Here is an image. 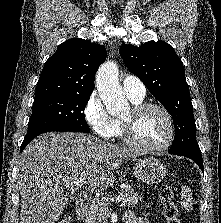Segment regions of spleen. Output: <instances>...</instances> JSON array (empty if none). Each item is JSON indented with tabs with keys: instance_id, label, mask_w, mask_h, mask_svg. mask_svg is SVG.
I'll use <instances>...</instances> for the list:
<instances>
[{
	"instance_id": "obj_1",
	"label": "spleen",
	"mask_w": 221,
	"mask_h": 223,
	"mask_svg": "<svg viewBox=\"0 0 221 223\" xmlns=\"http://www.w3.org/2000/svg\"><path fill=\"white\" fill-rule=\"evenodd\" d=\"M181 205L188 212L193 210L192 191L187 186H183L181 190Z\"/></svg>"
}]
</instances>
